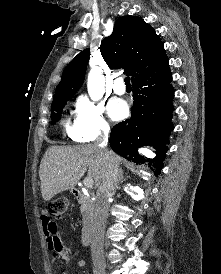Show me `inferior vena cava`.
<instances>
[{"instance_id":"1","label":"inferior vena cava","mask_w":221,"mask_h":274,"mask_svg":"<svg viewBox=\"0 0 221 274\" xmlns=\"http://www.w3.org/2000/svg\"><path fill=\"white\" fill-rule=\"evenodd\" d=\"M108 133L109 127L104 129V135L99 144L105 169L102 183L97 190L95 216L92 224L91 254L93 259L103 256V235L108 217L109 198L114 195L117 187L118 163L113 153L106 148Z\"/></svg>"}]
</instances>
